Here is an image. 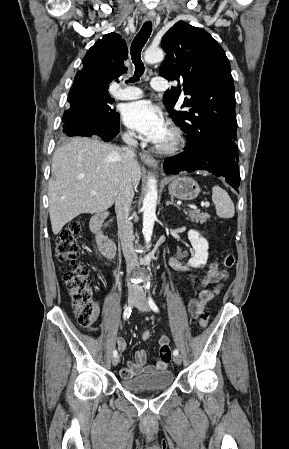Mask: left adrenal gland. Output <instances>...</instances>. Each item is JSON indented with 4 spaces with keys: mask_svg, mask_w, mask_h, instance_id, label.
I'll return each mask as SVG.
<instances>
[{
    "mask_svg": "<svg viewBox=\"0 0 289 449\" xmlns=\"http://www.w3.org/2000/svg\"><path fill=\"white\" fill-rule=\"evenodd\" d=\"M166 205H167V206H168V205H173V206H175V207H178V205H176V204L174 203L173 197L170 198V201H168V202L166 203Z\"/></svg>",
    "mask_w": 289,
    "mask_h": 449,
    "instance_id": "1",
    "label": "left adrenal gland"
}]
</instances>
